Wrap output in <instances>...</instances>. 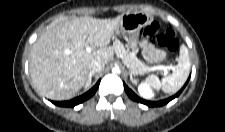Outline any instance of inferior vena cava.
Here are the masks:
<instances>
[{"mask_svg": "<svg viewBox=\"0 0 225 132\" xmlns=\"http://www.w3.org/2000/svg\"><path fill=\"white\" fill-rule=\"evenodd\" d=\"M105 64L98 61V60H93L89 66H88V69H89V74H95V73H99L103 70Z\"/></svg>", "mask_w": 225, "mask_h": 132, "instance_id": "1", "label": "inferior vena cava"}]
</instances>
